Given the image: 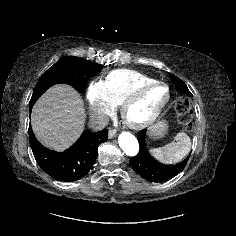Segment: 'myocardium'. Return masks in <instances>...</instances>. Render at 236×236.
<instances>
[{
  "mask_svg": "<svg viewBox=\"0 0 236 236\" xmlns=\"http://www.w3.org/2000/svg\"><path fill=\"white\" fill-rule=\"evenodd\" d=\"M162 86L166 90L165 98L154 108L152 113L143 120H134L130 117V109L136 105L142 97L152 88ZM171 97L169 86L158 80L143 84L136 88L121 104L120 112L124 123L131 129L142 130L151 126L160 116L162 110L168 104Z\"/></svg>",
  "mask_w": 236,
  "mask_h": 236,
  "instance_id": "f54148a6",
  "label": "myocardium"
}]
</instances>
